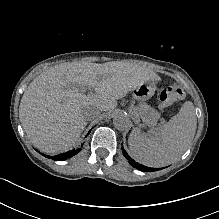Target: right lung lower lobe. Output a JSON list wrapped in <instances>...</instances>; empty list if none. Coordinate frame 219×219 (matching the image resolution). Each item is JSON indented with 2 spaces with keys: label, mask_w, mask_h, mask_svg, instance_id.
Returning <instances> with one entry per match:
<instances>
[{
  "label": "right lung lower lobe",
  "mask_w": 219,
  "mask_h": 219,
  "mask_svg": "<svg viewBox=\"0 0 219 219\" xmlns=\"http://www.w3.org/2000/svg\"><path fill=\"white\" fill-rule=\"evenodd\" d=\"M79 151H80V149H77V150H71V151H68L66 153H62V154L52 156V157L46 156V155H44V156L52 158L53 160H56V161H61V160H66L68 158H71L72 156L77 154Z\"/></svg>",
  "instance_id": "right-lung-lower-lobe-1"
}]
</instances>
